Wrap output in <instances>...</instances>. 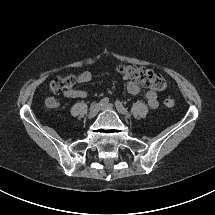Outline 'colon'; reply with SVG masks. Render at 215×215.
Returning a JSON list of instances; mask_svg holds the SVG:
<instances>
[{
	"mask_svg": "<svg viewBox=\"0 0 215 215\" xmlns=\"http://www.w3.org/2000/svg\"><path fill=\"white\" fill-rule=\"evenodd\" d=\"M117 71L123 77L135 80L145 87L154 90H164L167 87L166 80L150 69L131 64H124L119 65ZM76 81V78L72 75L55 77L50 82V90L52 93L58 94L64 89H72L75 86ZM44 105L47 109L53 110L59 106V100L55 96H48L44 101ZM164 105L168 108H173L175 106V100L170 96H166Z\"/></svg>",
	"mask_w": 215,
	"mask_h": 215,
	"instance_id": "obj_1",
	"label": "colon"
}]
</instances>
